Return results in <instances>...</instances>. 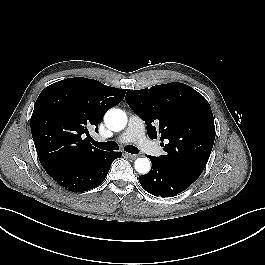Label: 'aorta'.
<instances>
[{"mask_svg":"<svg viewBox=\"0 0 265 265\" xmlns=\"http://www.w3.org/2000/svg\"><path fill=\"white\" fill-rule=\"evenodd\" d=\"M105 125L112 131H121L127 124V115L121 109L112 108L104 116ZM135 170L140 174H146L151 169V163L148 158H137Z\"/></svg>","mask_w":265,"mask_h":265,"instance_id":"obj_1","label":"aorta"}]
</instances>
